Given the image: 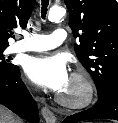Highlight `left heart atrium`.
<instances>
[{
	"instance_id": "left-heart-atrium-1",
	"label": "left heart atrium",
	"mask_w": 118,
	"mask_h": 123,
	"mask_svg": "<svg viewBox=\"0 0 118 123\" xmlns=\"http://www.w3.org/2000/svg\"><path fill=\"white\" fill-rule=\"evenodd\" d=\"M25 73L38 86L57 93H61L71 80L66 63L60 56L29 58L25 64Z\"/></svg>"
}]
</instances>
